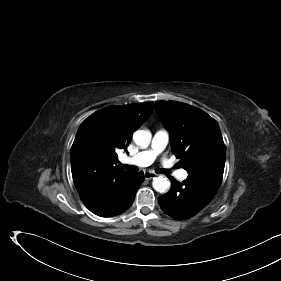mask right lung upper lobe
<instances>
[{"instance_id": "1", "label": "right lung upper lobe", "mask_w": 281, "mask_h": 281, "mask_svg": "<svg viewBox=\"0 0 281 281\" xmlns=\"http://www.w3.org/2000/svg\"><path fill=\"white\" fill-rule=\"evenodd\" d=\"M153 109V102L110 106L82 122L70 155L73 181L86 206L108 199L130 174L116 165V150L127 148Z\"/></svg>"}]
</instances>
